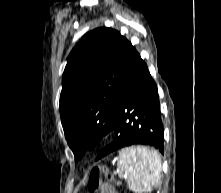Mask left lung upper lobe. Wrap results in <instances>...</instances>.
Wrapping results in <instances>:
<instances>
[{
	"mask_svg": "<svg viewBox=\"0 0 221 193\" xmlns=\"http://www.w3.org/2000/svg\"><path fill=\"white\" fill-rule=\"evenodd\" d=\"M137 51L120 33L98 28L71 51L62 79L60 115L75 161L112 131L122 80Z\"/></svg>",
	"mask_w": 221,
	"mask_h": 193,
	"instance_id": "5c2ea615",
	"label": "left lung upper lobe"
}]
</instances>
